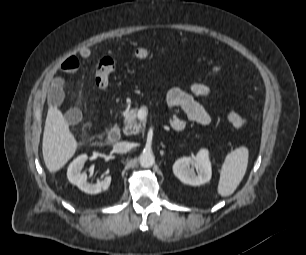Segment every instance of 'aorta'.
I'll list each match as a JSON object with an SVG mask.
<instances>
[{
    "label": "aorta",
    "instance_id": "obj_1",
    "mask_svg": "<svg viewBox=\"0 0 306 255\" xmlns=\"http://www.w3.org/2000/svg\"><path fill=\"white\" fill-rule=\"evenodd\" d=\"M139 163L143 168H150L155 163V157L150 151L143 152L139 157Z\"/></svg>",
    "mask_w": 306,
    "mask_h": 255
}]
</instances>
